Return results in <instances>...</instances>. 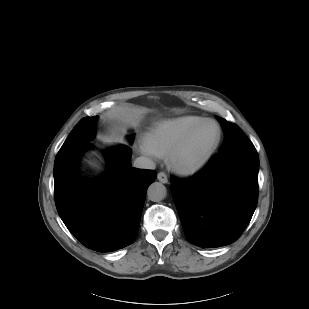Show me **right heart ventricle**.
I'll return each mask as SVG.
<instances>
[{
    "label": "right heart ventricle",
    "mask_w": 309,
    "mask_h": 309,
    "mask_svg": "<svg viewBox=\"0 0 309 309\" xmlns=\"http://www.w3.org/2000/svg\"><path fill=\"white\" fill-rule=\"evenodd\" d=\"M204 119L184 116L157 123L145 136V144L158 157L170 156L179 141Z\"/></svg>",
    "instance_id": "e07e8e85"
}]
</instances>
